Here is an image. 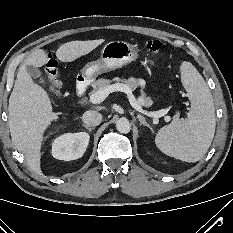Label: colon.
I'll return each instance as SVG.
<instances>
[{
	"label": "colon",
	"instance_id": "5ec220e1",
	"mask_svg": "<svg viewBox=\"0 0 233 233\" xmlns=\"http://www.w3.org/2000/svg\"><path fill=\"white\" fill-rule=\"evenodd\" d=\"M143 46L145 47L146 50L153 52V53H157L161 50L162 43L159 40L151 39V40H147L143 42ZM44 76L47 82L51 86H53V88L59 87L60 83L57 78L56 65L51 59L48 61Z\"/></svg>",
	"mask_w": 233,
	"mask_h": 233
}]
</instances>
